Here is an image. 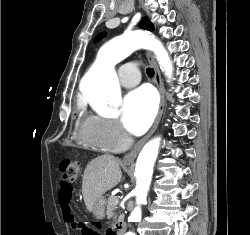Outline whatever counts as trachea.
I'll return each instance as SVG.
<instances>
[{
  "instance_id": "3493384b",
  "label": "trachea",
  "mask_w": 250,
  "mask_h": 235,
  "mask_svg": "<svg viewBox=\"0 0 250 235\" xmlns=\"http://www.w3.org/2000/svg\"><path fill=\"white\" fill-rule=\"evenodd\" d=\"M146 73L148 76L153 77L154 76V69L153 68H147Z\"/></svg>"
}]
</instances>
